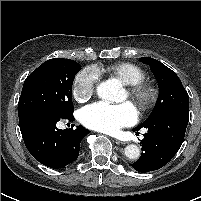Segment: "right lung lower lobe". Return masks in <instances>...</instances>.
I'll return each mask as SVG.
<instances>
[{"label":"right lung lower lobe","instance_id":"98d812e1","mask_svg":"<svg viewBox=\"0 0 201 201\" xmlns=\"http://www.w3.org/2000/svg\"><path fill=\"white\" fill-rule=\"evenodd\" d=\"M62 119L73 121V115L60 117L48 110H33L19 117L24 143L31 155L43 165L59 169L75 161L80 143L89 131L82 126L61 130L56 123Z\"/></svg>","mask_w":201,"mask_h":201}]
</instances>
